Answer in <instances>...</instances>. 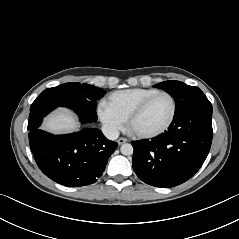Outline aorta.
Wrapping results in <instances>:
<instances>
[{
	"label": "aorta",
	"instance_id": "762f6f07",
	"mask_svg": "<svg viewBox=\"0 0 239 239\" xmlns=\"http://www.w3.org/2000/svg\"><path fill=\"white\" fill-rule=\"evenodd\" d=\"M120 151L125 156L132 155L133 154V146L129 143H125L121 146Z\"/></svg>",
	"mask_w": 239,
	"mask_h": 239
}]
</instances>
